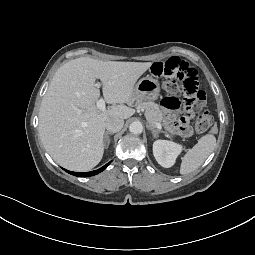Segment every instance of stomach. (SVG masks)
<instances>
[{"instance_id":"stomach-1","label":"stomach","mask_w":255,"mask_h":255,"mask_svg":"<svg viewBox=\"0 0 255 255\" xmlns=\"http://www.w3.org/2000/svg\"><path fill=\"white\" fill-rule=\"evenodd\" d=\"M160 84L151 76L140 79L134 87V95L137 102L153 101L159 97Z\"/></svg>"}]
</instances>
